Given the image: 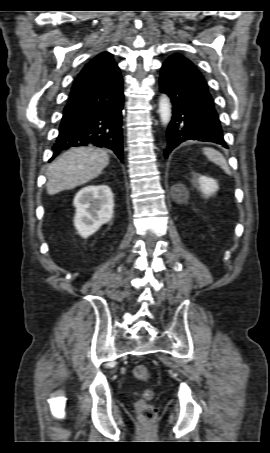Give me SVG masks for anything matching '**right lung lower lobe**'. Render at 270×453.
Wrapping results in <instances>:
<instances>
[{
    "instance_id": "right-lung-lower-lobe-1",
    "label": "right lung lower lobe",
    "mask_w": 270,
    "mask_h": 453,
    "mask_svg": "<svg viewBox=\"0 0 270 453\" xmlns=\"http://www.w3.org/2000/svg\"><path fill=\"white\" fill-rule=\"evenodd\" d=\"M122 109L119 68L96 84L71 90L50 161L63 150L87 144L109 148L123 161Z\"/></svg>"
}]
</instances>
